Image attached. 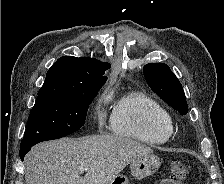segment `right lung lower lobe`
<instances>
[{"mask_svg":"<svg viewBox=\"0 0 224 184\" xmlns=\"http://www.w3.org/2000/svg\"><path fill=\"white\" fill-rule=\"evenodd\" d=\"M31 147H32V146H28V147L20 148L19 155H20V159H21V160L24 159L25 154L31 149Z\"/></svg>","mask_w":224,"mask_h":184,"instance_id":"1","label":"right lung lower lobe"}]
</instances>
